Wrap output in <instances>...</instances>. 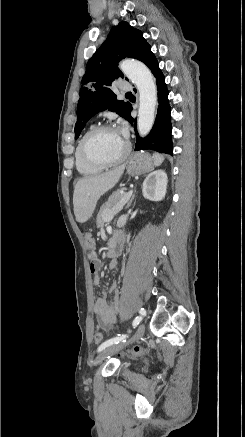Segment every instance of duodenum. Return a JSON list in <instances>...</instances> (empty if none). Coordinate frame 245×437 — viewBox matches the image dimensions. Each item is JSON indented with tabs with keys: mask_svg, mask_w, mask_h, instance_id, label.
I'll use <instances>...</instances> for the list:
<instances>
[{
	"mask_svg": "<svg viewBox=\"0 0 245 437\" xmlns=\"http://www.w3.org/2000/svg\"><path fill=\"white\" fill-rule=\"evenodd\" d=\"M124 239V234L122 232H117L115 241L108 248L107 257L109 259V268L111 269L116 267L117 257L121 252Z\"/></svg>",
	"mask_w": 245,
	"mask_h": 437,
	"instance_id": "1",
	"label": "duodenum"
}]
</instances>
